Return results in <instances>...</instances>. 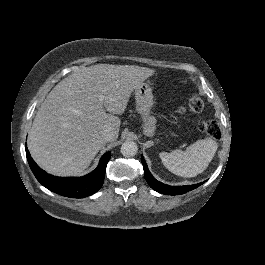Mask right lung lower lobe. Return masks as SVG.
I'll return each instance as SVG.
<instances>
[{"instance_id":"obj_1","label":"right lung lower lobe","mask_w":265,"mask_h":265,"mask_svg":"<svg viewBox=\"0 0 265 265\" xmlns=\"http://www.w3.org/2000/svg\"><path fill=\"white\" fill-rule=\"evenodd\" d=\"M26 156L32 172L37 180L50 191L61 196L71 198H84L97 192L105 176L106 165L111 153L108 152L100 159L98 167L90 174L83 177H56L42 170L31 158L26 147Z\"/></svg>"}]
</instances>
